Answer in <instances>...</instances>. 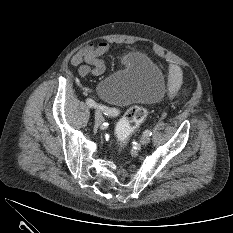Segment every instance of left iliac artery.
I'll return each instance as SVG.
<instances>
[{"mask_svg": "<svg viewBox=\"0 0 233 233\" xmlns=\"http://www.w3.org/2000/svg\"><path fill=\"white\" fill-rule=\"evenodd\" d=\"M144 133H145V135H148V136L152 135V132L150 130H146Z\"/></svg>", "mask_w": 233, "mask_h": 233, "instance_id": "left-iliac-artery-1", "label": "left iliac artery"}]
</instances>
